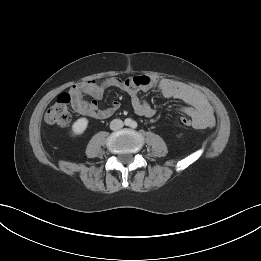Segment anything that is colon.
Instances as JSON below:
<instances>
[{
	"label": "colon",
	"mask_w": 261,
	"mask_h": 261,
	"mask_svg": "<svg viewBox=\"0 0 261 261\" xmlns=\"http://www.w3.org/2000/svg\"><path fill=\"white\" fill-rule=\"evenodd\" d=\"M70 96L66 93L60 94L55 103L48 109L45 119L49 124L65 127L71 121ZM181 122L185 126H192V120L189 117H182Z\"/></svg>",
	"instance_id": "obj_1"
}]
</instances>
